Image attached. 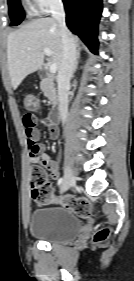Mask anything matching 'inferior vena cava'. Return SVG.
Listing matches in <instances>:
<instances>
[{
	"mask_svg": "<svg viewBox=\"0 0 134 281\" xmlns=\"http://www.w3.org/2000/svg\"><path fill=\"white\" fill-rule=\"evenodd\" d=\"M50 8L52 17L60 27L63 44L62 61L58 70L57 83L60 119L65 124L68 117V91L70 88V79L75 68L77 52L71 34L66 27L65 10L62 1L53 0Z\"/></svg>",
	"mask_w": 134,
	"mask_h": 281,
	"instance_id": "obj_1",
	"label": "inferior vena cava"
}]
</instances>
